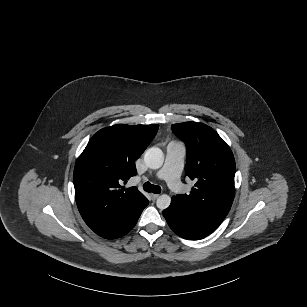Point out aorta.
<instances>
[{
    "mask_svg": "<svg viewBox=\"0 0 307 307\" xmlns=\"http://www.w3.org/2000/svg\"><path fill=\"white\" fill-rule=\"evenodd\" d=\"M144 162L150 169H159L164 162L163 151L158 147L149 148L144 154ZM171 198L167 194L160 195L156 200V205L163 210L169 207Z\"/></svg>",
    "mask_w": 307,
    "mask_h": 307,
    "instance_id": "obj_1",
    "label": "aorta"
}]
</instances>
